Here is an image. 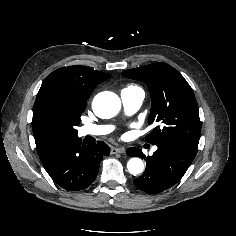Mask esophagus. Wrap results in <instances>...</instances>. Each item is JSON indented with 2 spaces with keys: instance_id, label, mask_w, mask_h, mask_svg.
<instances>
[{
  "instance_id": "esophagus-1",
  "label": "esophagus",
  "mask_w": 236,
  "mask_h": 236,
  "mask_svg": "<svg viewBox=\"0 0 236 236\" xmlns=\"http://www.w3.org/2000/svg\"><path fill=\"white\" fill-rule=\"evenodd\" d=\"M111 154H116V153H125V149L124 148H116V147H112L110 150Z\"/></svg>"
}]
</instances>
